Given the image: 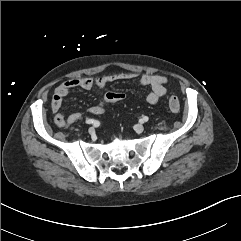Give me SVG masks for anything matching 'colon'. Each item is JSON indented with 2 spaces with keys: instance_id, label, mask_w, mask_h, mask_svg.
Wrapping results in <instances>:
<instances>
[{
  "instance_id": "obj_1",
  "label": "colon",
  "mask_w": 241,
  "mask_h": 241,
  "mask_svg": "<svg viewBox=\"0 0 241 241\" xmlns=\"http://www.w3.org/2000/svg\"><path fill=\"white\" fill-rule=\"evenodd\" d=\"M104 100L106 101H122L125 98L124 93L122 92H106L103 95ZM168 107L171 112L177 113L180 110V102L177 97L171 96L168 100Z\"/></svg>"
}]
</instances>
